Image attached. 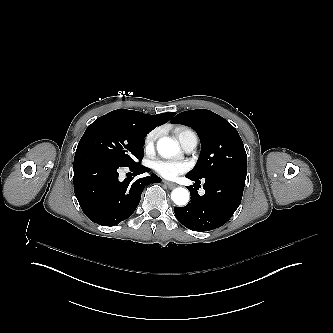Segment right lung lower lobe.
<instances>
[{"mask_svg": "<svg viewBox=\"0 0 333 333\" xmlns=\"http://www.w3.org/2000/svg\"><path fill=\"white\" fill-rule=\"evenodd\" d=\"M122 167L100 153L76 150L74 157V192L82 211L93 222L114 226L127 219L137 208L144 187L161 179L151 174L131 182H120L118 168ZM133 175L149 172L140 164L129 167Z\"/></svg>", "mask_w": 333, "mask_h": 333, "instance_id": "obj_1", "label": "right lung lower lobe"}]
</instances>
